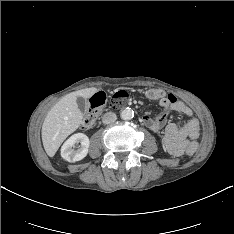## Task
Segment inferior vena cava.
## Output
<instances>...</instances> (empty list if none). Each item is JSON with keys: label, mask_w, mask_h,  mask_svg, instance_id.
<instances>
[{"label": "inferior vena cava", "mask_w": 234, "mask_h": 234, "mask_svg": "<svg viewBox=\"0 0 234 234\" xmlns=\"http://www.w3.org/2000/svg\"><path fill=\"white\" fill-rule=\"evenodd\" d=\"M116 119H117V116L113 112H107L102 117V121H103L104 124L113 123V122L116 121Z\"/></svg>", "instance_id": "obj_1"}]
</instances>
